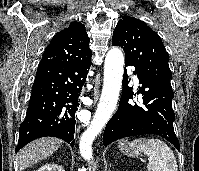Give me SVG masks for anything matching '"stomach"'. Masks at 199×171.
Wrapping results in <instances>:
<instances>
[{"instance_id": "0dacf381", "label": "stomach", "mask_w": 199, "mask_h": 171, "mask_svg": "<svg viewBox=\"0 0 199 171\" xmlns=\"http://www.w3.org/2000/svg\"><path fill=\"white\" fill-rule=\"evenodd\" d=\"M119 149L121 152L130 157H136L139 155L140 149L133 146L131 142L123 140L119 143Z\"/></svg>"}]
</instances>
